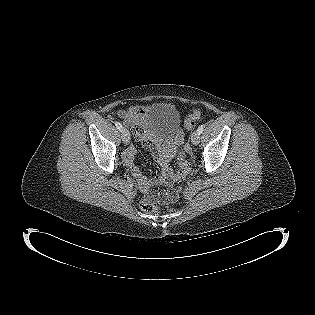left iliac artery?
Returning <instances> with one entry per match:
<instances>
[{
    "label": "left iliac artery",
    "instance_id": "44dca946",
    "mask_svg": "<svg viewBox=\"0 0 315 315\" xmlns=\"http://www.w3.org/2000/svg\"><path fill=\"white\" fill-rule=\"evenodd\" d=\"M203 130H204V126H203V125H200V126L198 127V129H197V132H198L199 134H201V133L203 132Z\"/></svg>",
    "mask_w": 315,
    "mask_h": 315
}]
</instances>
